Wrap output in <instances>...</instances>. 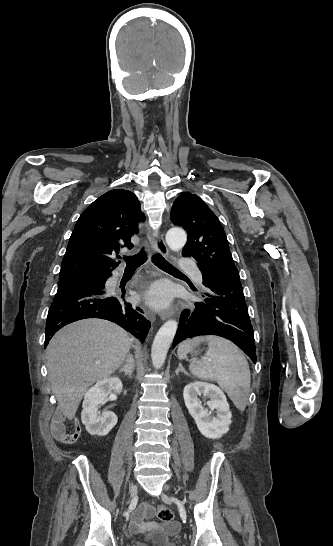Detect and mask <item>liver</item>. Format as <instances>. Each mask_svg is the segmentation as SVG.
<instances>
[{"label": "liver", "instance_id": "6515ba94", "mask_svg": "<svg viewBox=\"0 0 333 546\" xmlns=\"http://www.w3.org/2000/svg\"><path fill=\"white\" fill-rule=\"evenodd\" d=\"M131 346L128 333L114 323L85 319L60 329L47 349V369L58 409L72 420L87 389L109 377Z\"/></svg>", "mask_w": 333, "mask_h": 546}]
</instances>
